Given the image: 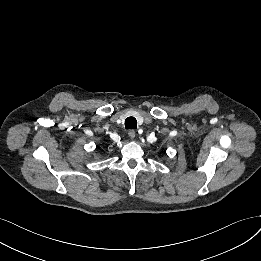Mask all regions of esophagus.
Segmentation results:
<instances>
[{"instance_id": "esophagus-1", "label": "esophagus", "mask_w": 261, "mask_h": 261, "mask_svg": "<svg viewBox=\"0 0 261 261\" xmlns=\"http://www.w3.org/2000/svg\"><path fill=\"white\" fill-rule=\"evenodd\" d=\"M128 135H129V137H130L131 139H133V138L135 137V135H136L135 130H133V129L129 130V131H128Z\"/></svg>"}]
</instances>
